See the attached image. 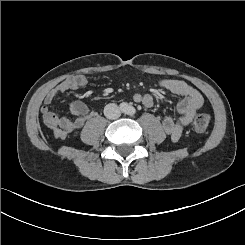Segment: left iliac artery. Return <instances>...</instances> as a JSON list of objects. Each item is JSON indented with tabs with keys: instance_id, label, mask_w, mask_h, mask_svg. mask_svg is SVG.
I'll use <instances>...</instances> for the list:
<instances>
[{
	"instance_id": "44dca946",
	"label": "left iliac artery",
	"mask_w": 245,
	"mask_h": 245,
	"mask_svg": "<svg viewBox=\"0 0 245 245\" xmlns=\"http://www.w3.org/2000/svg\"><path fill=\"white\" fill-rule=\"evenodd\" d=\"M126 113L130 116H133L136 113V109L133 106H129L126 110Z\"/></svg>"
}]
</instances>
